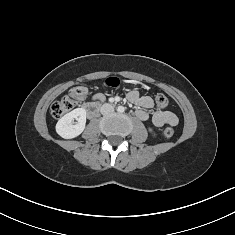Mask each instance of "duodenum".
I'll list each match as a JSON object with an SVG mask.
<instances>
[{
  "instance_id": "410a0bca",
  "label": "duodenum",
  "mask_w": 235,
  "mask_h": 235,
  "mask_svg": "<svg viewBox=\"0 0 235 235\" xmlns=\"http://www.w3.org/2000/svg\"><path fill=\"white\" fill-rule=\"evenodd\" d=\"M110 105H113V103H111ZM102 106H104V104L102 103H90L84 106V109L86 111L87 116L89 118H93L97 115Z\"/></svg>"
}]
</instances>
